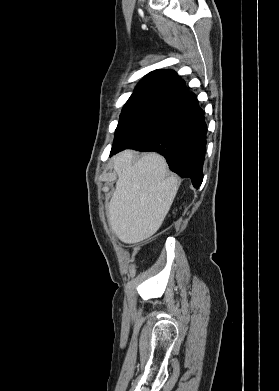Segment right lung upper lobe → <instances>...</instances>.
Wrapping results in <instances>:
<instances>
[{
	"instance_id": "obj_1",
	"label": "right lung upper lobe",
	"mask_w": 279,
	"mask_h": 391,
	"mask_svg": "<svg viewBox=\"0 0 279 391\" xmlns=\"http://www.w3.org/2000/svg\"><path fill=\"white\" fill-rule=\"evenodd\" d=\"M185 82L172 70H155L136 86L123 110L155 107L163 108L186 95Z\"/></svg>"
}]
</instances>
